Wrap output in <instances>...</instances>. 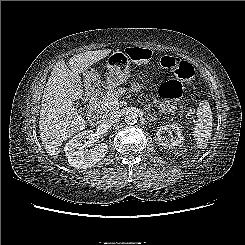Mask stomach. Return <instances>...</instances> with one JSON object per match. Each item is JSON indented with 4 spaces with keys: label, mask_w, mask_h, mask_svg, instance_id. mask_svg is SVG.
Instances as JSON below:
<instances>
[{
    "label": "stomach",
    "mask_w": 245,
    "mask_h": 245,
    "mask_svg": "<svg viewBox=\"0 0 245 245\" xmlns=\"http://www.w3.org/2000/svg\"><path fill=\"white\" fill-rule=\"evenodd\" d=\"M129 58L122 51L113 52L107 59L108 76L105 81V86L113 90L117 86L124 84L130 77ZM84 78L87 82L98 80L97 74L90 68L85 70Z\"/></svg>",
    "instance_id": "0dacf381"
}]
</instances>
